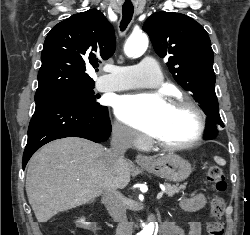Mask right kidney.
<instances>
[{
	"instance_id": "obj_1",
	"label": "right kidney",
	"mask_w": 250,
	"mask_h": 235,
	"mask_svg": "<svg viewBox=\"0 0 250 235\" xmlns=\"http://www.w3.org/2000/svg\"><path fill=\"white\" fill-rule=\"evenodd\" d=\"M79 222L82 223V224H84V225H87V224H88V223L85 222V219H83V218L80 219Z\"/></svg>"
}]
</instances>
